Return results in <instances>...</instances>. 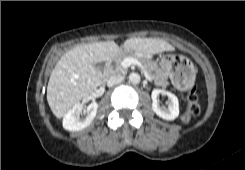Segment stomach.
Segmentation results:
<instances>
[{"mask_svg": "<svg viewBox=\"0 0 245 170\" xmlns=\"http://www.w3.org/2000/svg\"><path fill=\"white\" fill-rule=\"evenodd\" d=\"M186 61L187 65H189L188 59H186L182 55H176V54H166L161 55L160 57V65L161 67L167 71L168 73L172 74L173 68H181L184 65V62ZM191 76H193V72H191Z\"/></svg>", "mask_w": 245, "mask_h": 170, "instance_id": "1", "label": "stomach"}]
</instances>
